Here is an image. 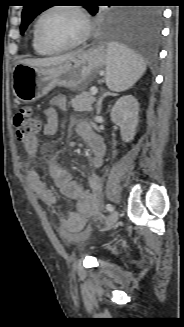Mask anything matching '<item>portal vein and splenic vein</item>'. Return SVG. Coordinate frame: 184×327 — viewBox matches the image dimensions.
<instances>
[{
  "label": "portal vein and splenic vein",
  "mask_w": 184,
  "mask_h": 327,
  "mask_svg": "<svg viewBox=\"0 0 184 327\" xmlns=\"http://www.w3.org/2000/svg\"><path fill=\"white\" fill-rule=\"evenodd\" d=\"M91 92H92V95H95V94H97L98 89H97L96 87H93V88L91 89Z\"/></svg>",
  "instance_id": "portal-vein-and-splenic-vein-1"
}]
</instances>
